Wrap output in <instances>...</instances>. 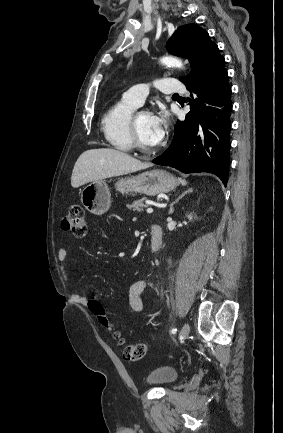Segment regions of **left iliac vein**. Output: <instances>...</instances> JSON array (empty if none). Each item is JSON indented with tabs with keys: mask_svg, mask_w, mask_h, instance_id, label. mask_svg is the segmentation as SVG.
Instances as JSON below:
<instances>
[{
	"mask_svg": "<svg viewBox=\"0 0 283 433\" xmlns=\"http://www.w3.org/2000/svg\"><path fill=\"white\" fill-rule=\"evenodd\" d=\"M190 333V326L189 324L185 323L181 329L180 332V338L185 339Z\"/></svg>",
	"mask_w": 283,
	"mask_h": 433,
	"instance_id": "4c4485c4",
	"label": "left iliac vein"
}]
</instances>
